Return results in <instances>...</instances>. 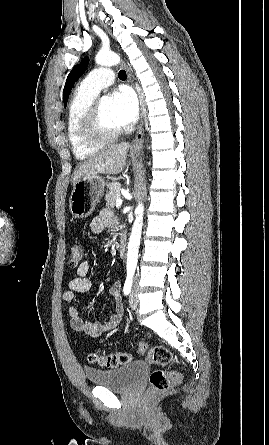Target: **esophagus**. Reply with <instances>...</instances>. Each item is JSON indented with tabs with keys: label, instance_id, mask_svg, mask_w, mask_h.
Instances as JSON below:
<instances>
[{
	"label": "esophagus",
	"instance_id": "34e87169",
	"mask_svg": "<svg viewBox=\"0 0 269 445\" xmlns=\"http://www.w3.org/2000/svg\"><path fill=\"white\" fill-rule=\"evenodd\" d=\"M127 75H128L129 82L133 85V87L135 88V90L137 92V95H138V98H139L140 110H141V119H140L139 128H138V131L136 133L135 139L133 140V148L137 149V148H140L142 146V143H143V140H144V138H143V132H144V129H143V123H144L143 122L144 103H143V98H142V95H141L139 87L136 86L133 83L132 75H131V72H130L129 68H127Z\"/></svg>",
	"mask_w": 269,
	"mask_h": 445
}]
</instances>
